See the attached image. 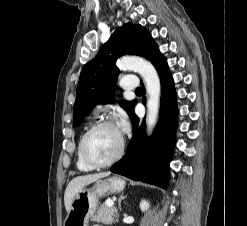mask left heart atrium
<instances>
[{
    "label": "left heart atrium",
    "instance_id": "left-heart-atrium-1",
    "mask_svg": "<svg viewBox=\"0 0 247 226\" xmlns=\"http://www.w3.org/2000/svg\"><path fill=\"white\" fill-rule=\"evenodd\" d=\"M129 130V123L126 118H123L119 123L120 133H127Z\"/></svg>",
    "mask_w": 247,
    "mask_h": 226
}]
</instances>
